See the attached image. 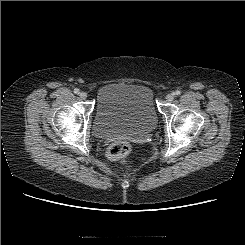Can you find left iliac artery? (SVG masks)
Segmentation results:
<instances>
[{"label":"left iliac artery","mask_w":245,"mask_h":245,"mask_svg":"<svg viewBox=\"0 0 245 245\" xmlns=\"http://www.w3.org/2000/svg\"><path fill=\"white\" fill-rule=\"evenodd\" d=\"M180 94H181V92L179 90H177V91L174 92V95H177L178 96Z\"/></svg>","instance_id":"left-iliac-artery-1"}]
</instances>
